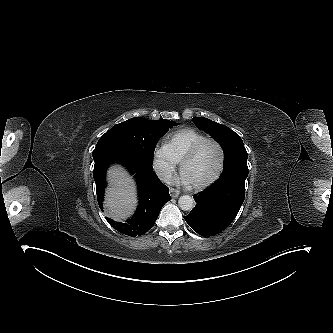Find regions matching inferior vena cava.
Wrapping results in <instances>:
<instances>
[{"label": "inferior vena cava", "instance_id": "inferior-vena-cava-1", "mask_svg": "<svg viewBox=\"0 0 333 333\" xmlns=\"http://www.w3.org/2000/svg\"><path fill=\"white\" fill-rule=\"evenodd\" d=\"M157 175L160 178V180L166 184H170L172 180V173L169 170L160 169L157 171Z\"/></svg>", "mask_w": 333, "mask_h": 333}]
</instances>
